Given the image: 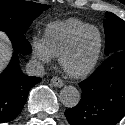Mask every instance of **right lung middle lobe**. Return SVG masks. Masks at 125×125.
I'll return each mask as SVG.
<instances>
[{
    "label": "right lung middle lobe",
    "mask_w": 125,
    "mask_h": 125,
    "mask_svg": "<svg viewBox=\"0 0 125 125\" xmlns=\"http://www.w3.org/2000/svg\"><path fill=\"white\" fill-rule=\"evenodd\" d=\"M49 7L24 0H0V31L24 36L32 21Z\"/></svg>",
    "instance_id": "dd1d6c3e"
}]
</instances>
